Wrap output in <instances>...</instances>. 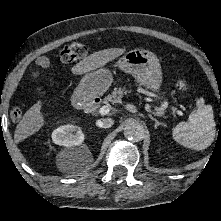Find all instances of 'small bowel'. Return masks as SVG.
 <instances>
[{
	"mask_svg": "<svg viewBox=\"0 0 221 221\" xmlns=\"http://www.w3.org/2000/svg\"><path fill=\"white\" fill-rule=\"evenodd\" d=\"M38 64L41 66V67H48L49 66V61L48 59L46 58H40L38 60Z\"/></svg>",
	"mask_w": 221,
	"mask_h": 221,
	"instance_id": "small-bowel-1",
	"label": "small bowel"
}]
</instances>
